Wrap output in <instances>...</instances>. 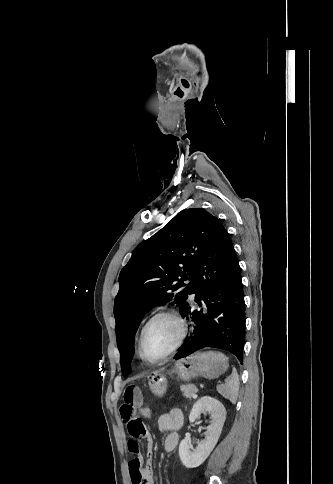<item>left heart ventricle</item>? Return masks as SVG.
I'll return each instance as SVG.
<instances>
[{"label":"left heart ventricle","instance_id":"1","mask_svg":"<svg viewBox=\"0 0 333 484\" xmlns=\"http://www.w3.org/2000/svg\"><path fill=\"white\" fill-rule=\"evenodd\" d=\"M179 334L178 325L169 318H160L154 321L147 329L143 351L149 358H158L163 355L175 342Z\"/></svg>","mask_w":333,"mask_h":484}]
</instances>
